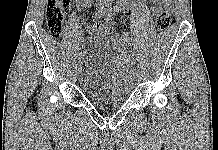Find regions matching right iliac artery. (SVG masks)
Masks as SVG:
<instances>
[{
	"label": "right iliac artery",
	"instance_id": "82829eb1",
	"mask_svg": "<svg viewBox=\"0 0 218 150\" xmlns=\"http://www.w3.org/2000/svg\"><path fill=\"white\" fill-rule=\"evenodd\" d=\"M106 6V5H105ZM103 8H104V6L103 7H101V9L98 11V13H96L95 14V17L96 16H98V17H100L101 15H103L104 14V11H103ZM79 58H81V56H82V53H79Z\"/></svg>",
	"mask_w": 218,
	"mask_h": 150
}]
</instances>
